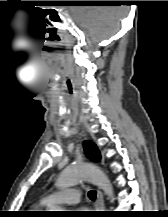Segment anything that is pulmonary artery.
I'll return each instance as SVG.
<instances>
[{"mask_svg":"<svg viewBox=\"0 0 168 217\" xmlns=\"http://www.w3.org/2000/svg\"><path fill=\"white\" fill-rule=\"evenodd\" d=\"M80 195L78 190L68 189L51 193L47 195L42 202L48 206L57 204L74 205L79 203Z\"/></svg>","mask_w":168,"mask_h":217,"instance_id":"e3ab8cb5","label":"pulmonary artery"}]
</instances>
